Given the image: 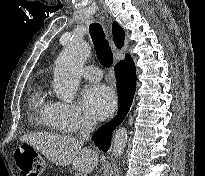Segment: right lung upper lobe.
<instances>
[{
  "instance_id": "obj_1",
  "label": "right lung upper lobe",
  "mask_w": 205,
  "mask_h": 176,
  "mask_svg": "<svg viewBox=\"0 0 205 176\" xmlns=\"http://www.w3.org/2000/svg\"><path fill=\"white\" fill-rule=\"evenodd\" d=\"M112 31H113V38H114V42H115L116 46L118 48L123 47L124 46V38H125L124 30L120 27V25L117 22H113ZM128 57H130L129 54H127L126 58H128Z\"/></svg>"
}]
</instances>
